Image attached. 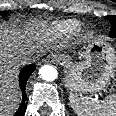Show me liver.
Instances as JSON below:
<instances>
[{
  "label": "liver",
  "instance_id": "1",
  "mask_svg": "<svg viewBox=\"0 0 116 116\" xmlns=\"http://www.w3.org/2000/svg\"><path fill=\"white\" fill-rule=\"evenodd\" d=\"M33 51L26 36L0 30V116H9L19 103L14 84L18 58L24 52Z\"/></svg>",
  "mask_w": 116,
  "mask_h": 116
}]
</instances>
